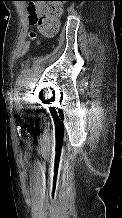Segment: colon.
<instances>
[{"instance_id": "5ec220e1", "label": "colon", "mask_w": 122, "mask_h": 218, "mask_svg": "<svg viewBox=\"0 0 122 218\" xmlns=\"http://www.w3.org/2000/svg\"><path fill=\"white\" fill-rule=\"evenodd\" d=\"M29 4L28 21L30 25L38 26V33L45 38L53 37L59 29V17L62 13L63 0H26ZM42 5V12L39 14L34 10L35 4ZM31 38L35 34L31 33Z\"/></svg>"}]
</instances>
